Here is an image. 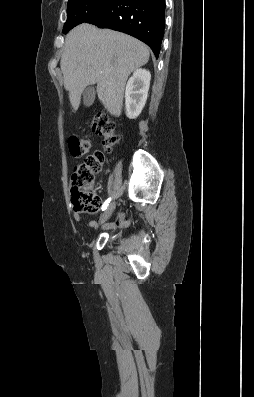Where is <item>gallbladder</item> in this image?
<instances>
[{"label": "gallbladder", "mask_w": 254, "mask_h": 397, "mask_svg": "<svg viewBox=\"0 0 254 397\" xmlns=\"http://www.w3.org/2000/svg\"><path fill=\"white\" fill-rule=\"evenodd\" d=\"M95 100V89L93 86H88L83 94L84 105L90 106Z\"/></svg>", "instance_id": "1"}]
</instances>
